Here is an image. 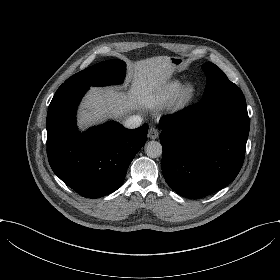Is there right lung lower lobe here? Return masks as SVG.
<instances>
[{
	"mask_svg": "<svg viewBox=\"0 0 280 280\" xmlns=\"http://www.w3.org/2000/svg\"><path fill=\"white\" fill-rule=\"evenodd\" d=\"M90 88L61 85L47 113V156L54 173L86 198L117 190L136 153L146 142L148 125L129 130L116 122L84 133L76 128L77 106Z\"/></svg>",
	"mask_w": 280,
	"mask_h": 280,
	"instance_id": "right-lung-lower-lobe-1",
	"label": "right lung lower lobe"
}]
</instances>
